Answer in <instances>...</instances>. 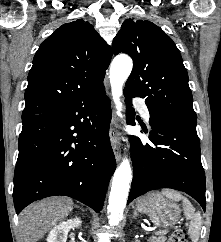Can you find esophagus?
I'll use <instances>...</instances> for the list:
<instances>
[{
	"label": "esophagus",
	"mask_w": 221,
	"mask_h": 242,
	"mask_svg": "<svg viewBox=\"0 0 221 242\" xmlns=\"http://www.w3.org/2000/svg\"><path fill=\"white\" fill-rule=\"evenodd\" d=\"M109 137L112 145V149L117 162L121 160V151H120V135L118 132V124L116 118L113 117L111 121V127L109 132Z\"/></svg>",
	"instance_id": "esophagus-1"
}]
</instances>
